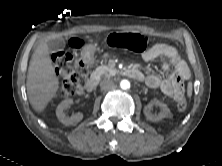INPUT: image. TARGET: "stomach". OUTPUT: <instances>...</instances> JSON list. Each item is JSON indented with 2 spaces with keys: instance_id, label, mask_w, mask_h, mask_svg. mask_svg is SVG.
<instances>
[{
  "instance_id": "stomach-1",
  "label": "stomach",
  "mask_w": 222,
  "mask_h": 166,
  "mask_svg": "<svg viewBox=\"0 0 222 166\" xmlns=\"http://www.w3.org/2000/svg\"><path fill=\"white\" fill-rule=\"evenodd\" d=\"M96 49H97L96 45H89V46H87V48L85 50V55L86 56H91L95 52Z\"/></svg>"
}]
</instances>
